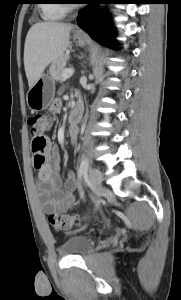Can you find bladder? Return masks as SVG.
I'll return each mask as SVG.
<instances>
[{"label": "bladder", "instance_id": "bladder-1", "mask_svg": "<svg viewBox=\"0 0 181 300\" xmlns=\"http://www.w3.org/2000/svg\"><path fill=\"white\" fill-rule=\"evenodd\" d=\"M65 251L72 256H84L91 251V244L88 239H74L67 243Z\"/></svg>", "mask_w": 181, "mask_h": 300}]
</instances>
